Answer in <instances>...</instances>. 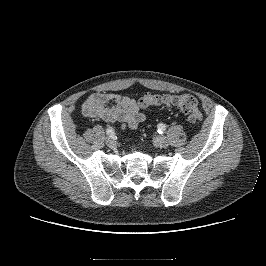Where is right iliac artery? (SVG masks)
Wrapping results in <instances>:
<instances>
[{
    "instance_id": "1",
    "label": "right iliac artery",
    "mask_w": 266,
    "mask_h": 266,
    "mask_svg": "<svg viewBox=\"0 0 266 266\" xmlns=\"http://www.w3.org/2000/svg\"><path fill=\"white\" fill-rule=\"evenodd\" d=\"M106 134L108 136H112L114 134V129L112 127L107 128Z\"/></svg>"
}]
</instances>
